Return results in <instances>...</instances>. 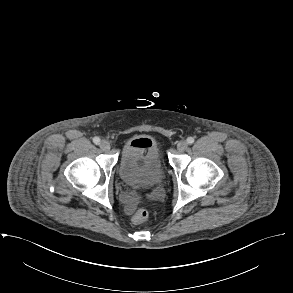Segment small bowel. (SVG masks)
<instances>
[{"label":"small bowel","instance_id":"c3829d8e","mask_svg":"<svg viewBox=\"0 0 293 293\" xmlns=\"http://www.w3.org/2000/svg\"><path fill=\"white\" fill-rule=\"evenodd\" d=\"M150 142L151 141L149 139L143 136H136L131 140V143L136 145L149 144ZM120 197H121V200L125 204L126 211L128 213H131L136 204V200H137L136 194L131 191H123Z\"/></svg>","mask_w":293,"mask_h":293}]
</instances>
